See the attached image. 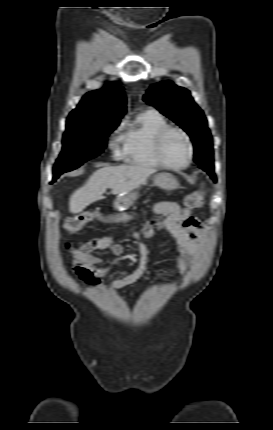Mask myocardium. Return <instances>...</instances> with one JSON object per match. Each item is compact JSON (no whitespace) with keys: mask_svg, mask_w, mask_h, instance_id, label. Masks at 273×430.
Listing matches in <instances>:
<instances>
[{"mask_svg":"<svg viewBox=\"0 0 273 430\" xmlns=\"http://www.w3.org/2000/svg\"><path fill=\"white\" fill-rule=\"evenodd\" d=\"M179 132L186 140V144L188 147V158L187 161L182 164V165H173L168 163L162 154V145L164 142L165 137L167 136L168 133L170 132ZM154 154L155 157L157 159V161L159 162V164L167 169H171V170H183L185 168H187L193 161V157H194V149H193V144L191 141V138L189 136V134L182 128L177 127V126H171L168 125L164 128H162L155 136V140H154Z\"/></svg>","mask_w":273,"mask_h":430,"instance_id":"f54148a6","label":"myocardium"}]
</instances>
